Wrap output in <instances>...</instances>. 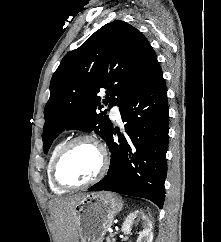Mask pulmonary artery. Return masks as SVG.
I'll return each instance as SVG.
<instances>
[{"instance_id":"e3ab8cb5","label":"pulmonary artery","mask_w":221,"mask_h":242,"mask_svg":"<svg viewBox=\"0 0 221 242\" xmlns=\"http://www.w3.org/2000/svg\"><path fill=\"white\" fill-rule=\"evenodd\" d=\"M112 119L121 122L120 109L118 106H113L110 112Z\"/></svg>"}]
</instances>
